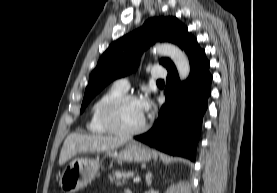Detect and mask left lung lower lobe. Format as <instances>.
<instances>
[{"instance_id":"obj_1","label":"left lung lower lobe","mask_w":277,"mask_h":193,"mask_svg":"<svg viewBox=\"0 0 277 193\" xmlns=\"http://www.w3.org/2000/svg\"><path fill=\"white\" fill-rule=\"evenodd\" d=\"M190 61V75L181 83L174 64L167 68L166 102L156 125L147 133L135 136L138 141L172 154L195 159L203 114L211 94L209 62L195 38L184 48Z\"/></svg>"}]
</instances>
